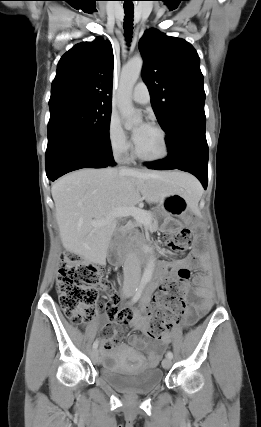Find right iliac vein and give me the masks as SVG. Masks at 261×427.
Here are the masks:
<instances>
[{
    "instance_id": "obj_1",
    "label": "right iliac vein",
    "mask_w": 261,
    "mask_h": 427,
    "mask_svg": "<svg viewBox=\"0 0 261 427\" xmlns=\"http://www.w3.org/2000/svg\"><path fill=\"white\" fill-rule=\"evenodd\" d=\"M133 294V291H127L125 292V296L129 297ZM91 359L93 362L97 363L99 360L98 351L96 349H93L91 352Z\"/></svg>"
}]
</instances>
